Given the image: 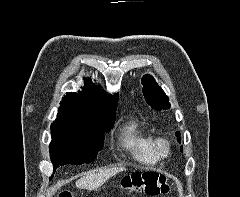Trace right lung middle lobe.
Segmentation results:
<instances>
[{
    "instance_id": "right-lung-middle-lobe-1",
    "label": "right lung middle lobe",
    "mask_w": 240,
    "mask_h": 197,
    "mask_svg": "<svg viewBox=\"0 0 240 197\" xmlns=\"http://www.w3.org/2000/svg\"><path fill=\"white\" fill-rule=\"evenodd\" d=\"M113 125L114 121L90 126L52 123L49 152L54 172L65 164L81 165L93 161L103 147L104 133Z\"/></svg>"
}]
</instances>
